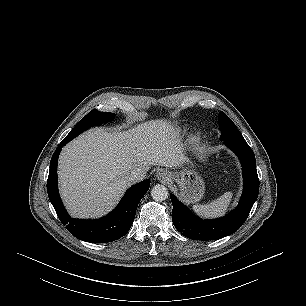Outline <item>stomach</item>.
Segmentation results:
<instances>
[{
	"mask_svg": "<svg viewBox=\"0 0 306 306\" xmlns=\"http://www.w3.org/2000/svg\"><path fill=\"white\" fill-rule=\"evenodd\" d=\"M173 181L178 185L180 197L185 203L193 204L203 198L205 183L192 162L187 161L186 166L173 175Z\"/></svg>",
	"mask_w": 306,
	"mask_h": 306,
	"instance_id": "obj_1",
	"label": "stomach"
}]
</instances>
